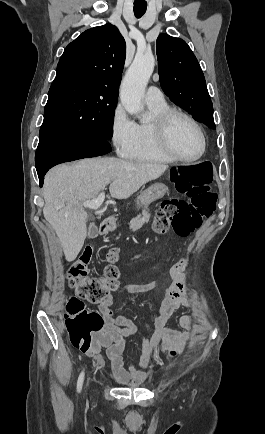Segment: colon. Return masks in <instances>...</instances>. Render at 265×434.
I'll return each instance as SVG.
<instances>
[{
  "label": "colon",
  "instance_id": "1",
  "mask_svg": "<svg viewBox=\"0 0 265 434\" xmlns=\"http://www.w3.org/2000/svg\"><path fill=\"white\" fill-rule=\"evenodd\" d=\"M171 175L179 178L177 187L185 189L189 199H164L155 214V227L161 234L173 232L177 236L187 237L198 230L203 219L211 216L215 210L218 196L211 188V164H172ZM92 256V250L84 253L66 274L68 285L76 294L70 293L66 297L70 302L64 313L68 326H64L63 333L69 335L70 346L75 348L89 347L91 335H96L98 328L105 324L100 314L86 309L84 301L91 304L106 303L118 287L119 271L114 265L118 256L116 249H111L104 258L105 267L98 278L88 274ZM167 353L173 354V358L179 354L174 349ZM167 358L172 361L171 355H167Z\"/></svg>",
  "mask_w": 265,
  "mask_h": 434
}]
</instances>
